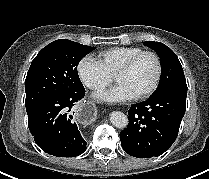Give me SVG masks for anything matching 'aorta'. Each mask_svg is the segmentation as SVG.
Here are the masks:
<instances>
[{
	"label": "aorta",
	"mask_w": 209,
	"mask_h": 179,
	"mask_svg": "<svg viewBox=\"0 0 209 179\" xmlns=\"http://www.w3.org/2000/svg\"><path fill=\"white\" fill-rule=\"evenodd\" d=\"M110 122L117 128H125L128 125V118L124 113L114 111L110 114Z\"/></svg>",
	"instance_id": "aorta-1"
}]
</instances>
